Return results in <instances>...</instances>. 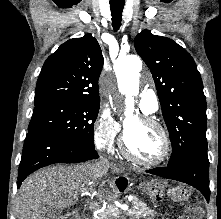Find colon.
<instances>
[{
  "mask_svg": "<svg viewBox=\"0 0 221 219\" xmlns=\"http://www.w3.org/2000/svg\"><path fill=\"white\" fill-rule=\"evenodd\" d=\"M177 192L182 197L187 195V192L185 190H178ZM63 219H80V216L77 213H70L66 215ZM181 219H204V217L200 207L189 206Z\"/></svg>",
  "mask_w": 221,
  "mask_h": 219,
  "instance_id": "colon-1",
  "label": "colon"
}]
</instances>
